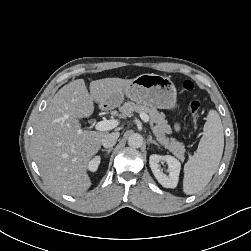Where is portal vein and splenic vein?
Wrapping results in <instances>:
<instances>
[{
    "label": "portal vein and splenic vein",
    "mask_w": 251,
    "mask_h": 251,
    "mask_svg": "<svg viewBox=\"0 0 251 251\" xmlns=\"http://www.w3.org/2000/svg\"><path fill=\"white\" fill-rule=\"evenodd\" d=\"M140 118L144 122L149 121V116L146 113H140ZM118 125H119L118 120H103L95 124V129L98 131H108V130L114 129Z\"/></svg>",
    "instance_id": "portal-vein-and-splenic-vein-1"
}]
</instances>
